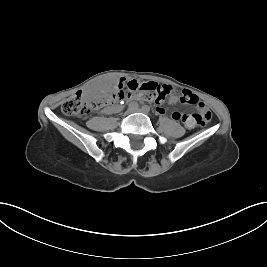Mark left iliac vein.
I'll use <instances>...</instances> for the list:
<instances>
[{
    "instance_id": "4c4485c4",
    "label": "left iliac vein",
    "mask_w": 267,
    "mask_h": 267,
    "mask_svg": "<svg viewBox=\"0 0 267 267\" xmlns=\"http://www.w3.org/2000/svg\"><path fill=\"white\" fill-rule=\"evenodd\" d=\"M137 111L144 113V114H148L149 111L145 110L144 108L138 109Z\"/></svg>"
}]
</instances>
